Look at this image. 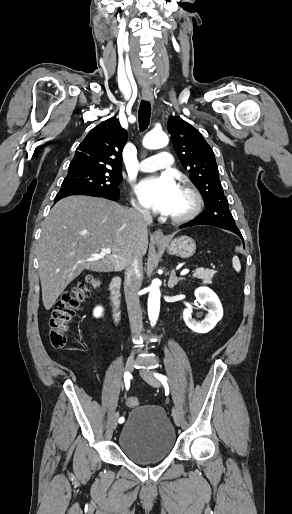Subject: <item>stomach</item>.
<instances>
[{"label": "stomach", "mask_w": 292, "mask_h": 514, "mask_svg": "<svg viewBox=\"0 0 292 514\" xmlns=\"http://www.w3.org/2000/svg\"><path fill=\"white\" fill-rule=\"evenodd\" d=\"M155 244L156 246H164V248H167L168 254L178 256V258H190L196 250V244L189 236L175 238L170 244H167V242H155Z\"/></svg>", "instance_id": "stomach-1"}]
</instances>
